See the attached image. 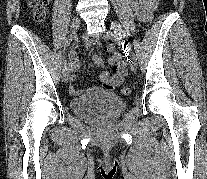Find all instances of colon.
Segmentation results:
<instances>
[{"label":"colon","mask_w":207,"mask_h":179,"mask_svg":"<svg viewBox=\"0 0 207 179\" xmlns=\"http://www.w3.org/2000/svg\"><path fill=\"white\" fill-rule=\"evenodd\" d=\"M47 3L48 0H29L35 22L39 24L44 23L47 14ZM120 91L123 95H129L131 93V88L129 86H123Z\"/></svg>","instance_id":"colon-1"}]
</instances>
